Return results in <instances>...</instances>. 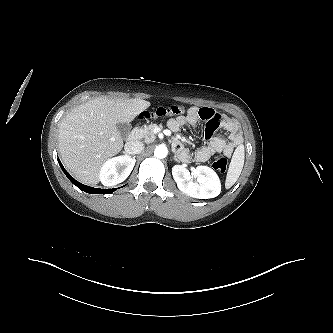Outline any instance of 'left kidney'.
<instances>
[{
  "label": "left kidney",
  "mask_w": 333,
  "mask_h": 333,
  "mask_svg": "<svg viewBox=\"0 0 333 333\" xmlns=\"http://www.w3.org/2000/svg\"><path fill=\"white\" fill-rule=\"evenodd\" d=\"M172 175L180 191L188 196L198 199H209L218 196L221 192V182L211 168L198 166L193 174L182 165L172 168ZM196 178V181H193Z\"/></svg>",
  "instance_id": "left-kidney-1"
}]
</instances>
